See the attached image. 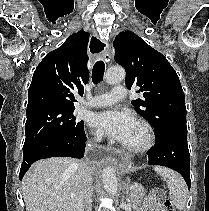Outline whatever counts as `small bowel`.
Listing matches in <instances>:
<instances>
[{"mask_svg": "<svg viewBox=\"0 0 209 211\" xmlns=\"http://www.w3.org/2000/svg\"><path fill=\"white\" fill-rule=\"evenodd\" d=\"M164 200V192L160 189L154 190L145 198L139 211H164Z\"/></svg>", "mask_w": 209, "mask_h": 211, "instance_id": "1", "label": "small bowel"}]
</instances>
